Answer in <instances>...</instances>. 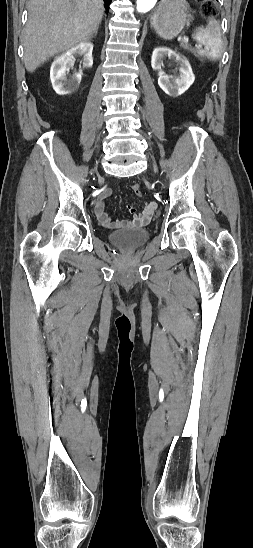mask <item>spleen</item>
Listing matches in <instances>:
<instances>
[{
	"label": "spleen",
	"mask_w": 253,
	"mask_h": 548,
	"mask_svg": "<svg viewBox=\"0 0 253 548\" xmlns=\"http://www.w3.org/2000/svg\"><path fill=\"white\" fill-rule=\"evenodd\" d=\"M204 49L197 50L199 56H206L210 59L217 60L221 57L223 46L220 33L219 23L210 17L207 26L198 27L193 35Z\"/></svg>",
	"instance_id": "spleen-1"
}]
</instances>
